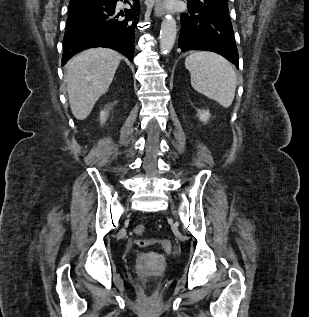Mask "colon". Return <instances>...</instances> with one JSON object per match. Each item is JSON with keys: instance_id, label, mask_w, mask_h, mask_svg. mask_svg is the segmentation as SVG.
<instances>
[{"instance_id": "5ec220e1", "label": "colon", "mask_w": 309, "mask_h": 317, "mask_svg": "<svg viewBox=\"0 0 309 317\" xmlns=\"http://www.w3.org/2000/svg\"><path fill=\"white\" fill-rule=\"evenodd\" d=\"M134 234L142 235L145 232V226L142 224H138L133 229ZM134 243L139 247H147L154 243H159L166 251H170L172 249V244L167 239L155 240V239H136Z\"/></svg>"}]
</instances>
